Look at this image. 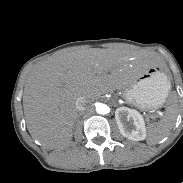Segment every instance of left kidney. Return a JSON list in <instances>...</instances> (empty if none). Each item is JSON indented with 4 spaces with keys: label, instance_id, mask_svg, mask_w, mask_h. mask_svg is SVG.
<instances>
[{
    "label": "left kidney",
    "instance_id": "obj_1",
    "mask_svg": "<svg viewBox=\"0 0 183 183\" xmlns=\"http://www.w3.org/2000/svg\"><path fill=\"white\" fill-rule=\"evenodd\" d=\"M115 119L124 137L133 141H142L146 138L145 120L137 110L119 107L115 111Z\"/></svg>",
    "mask_w": 183,
    "mask_h": 183
}]
</instances>
